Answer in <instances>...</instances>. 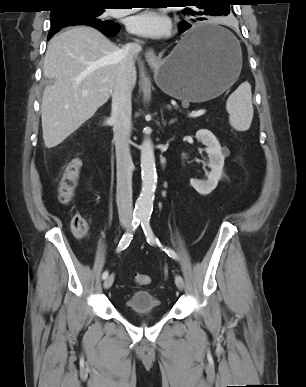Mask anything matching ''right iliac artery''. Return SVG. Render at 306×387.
I'll return each instance as SVG.
<instances>
[{
  "label": "right iliac artery",
  "mask_w": 306,
  "mask_h": 387,
  "mask_svg": "<svg viewBox=\"0 0 306 387\" xmlns=\"http://www.w3.org/2000/svg\"><path fill=\"white\" fill-rule=\"evenodd\" d=\"M140 221H141L140 218H134V220L132 221L131 229L122 236L119 242V245L116 249L117 252H121L129 246L131 240L133 239V231L139 225ZM107 277H108V271H105L102 274V279H106Z\"/></svg>",
  "instance_id": "right-iliac-artery-1"
}]
</instances>
